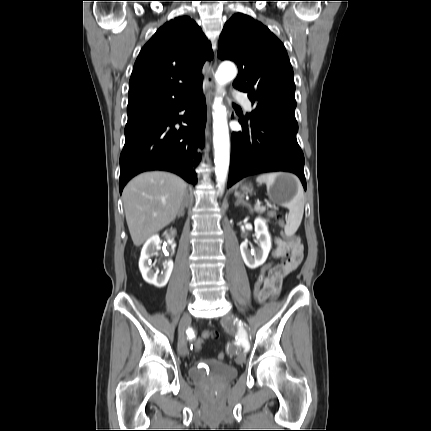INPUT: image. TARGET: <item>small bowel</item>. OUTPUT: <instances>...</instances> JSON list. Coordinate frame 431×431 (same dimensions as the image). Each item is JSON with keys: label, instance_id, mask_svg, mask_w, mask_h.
<instances>
[{"label": "small bowel", "instance_id": "1", "mask_svg": "<svg viewBox=\"0 0 431 431\" xmlns=\"http://www.w3.org/2000/svg\"><path fill=\"white\" fill-rule=\"evenodd\" d=\"M275 244L276 247L272 253L273 257L283 258L284 261L268 268L265 273L263 288L259 293V302L276 297L280 292L284 278L297 269L303 259V245L299 239L284 241L276 238Z\"/></svg>", "mask_w": 431, "mask_h": 431}]
</instances>
